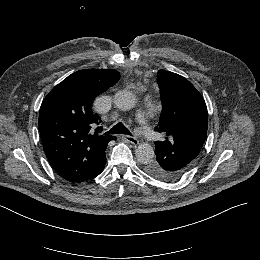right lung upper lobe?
I'll list each match as a JSON object with an SVG mask.
<instances>
[{
	"mask_svg": "<svg viewBox=\"0 0 260 260\" xmlns=\"http://www.w3.org/2000/svg\"><path fill=\"white\" fill-rule=\"evenodd\" d=\"M113 69L80 70L65 78L45 97L39 114V131L45 154L55 171L74 183L99 175L105 150L115 136L100 135V117L91 110L93 100L115 85Z\"/></svg>",
	"mask_w": 260,
	"mask_h": 260,
	"instance_id": "1",
	"label": "right lung upper lobe"
}]
</instances>
